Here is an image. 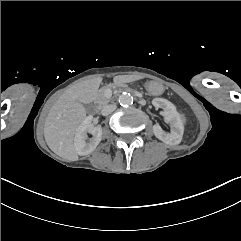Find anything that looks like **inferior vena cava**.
Segmentation results:
<instances>
[{"mask_svg":"<svg viewBox=\"0 0 241 241\" xmlns=\"http://www.w3.org/2000/svg\"><path fill=\"white\" fill-rule=\"evenodd\" d=\"M116 108H117V106L115 104H109L102 108L101 113L103 116H107V115L111 114L113 111H115Z\"/></svg>","mask_w":241,"mask_h":241,"instance_id":"602c4592","label":"inferior vena cava"}]
</instances>
